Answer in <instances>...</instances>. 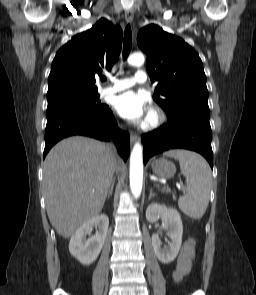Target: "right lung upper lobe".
I'll return each instance as SVG.
<instances>
[{
    "instance_id": "1",
    "label": "right lung upper lobe",
    "mask_w": 256,
    "mask_h": 295,
    "mask_svg": "<svg viewBox=\"0 0 256 295\" xmlns=\"http://www.w3.org/2000/svg\"><path fill=\"white\" fill-rule=\"evenodd\" d=\"M122 35L121 28L105 18L75 35L56 53L48 78L47 99L68 93H98L95 77L111 71L120 54Z\"/></svg>"
}]
</instances>
